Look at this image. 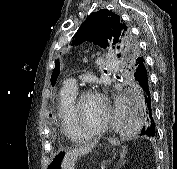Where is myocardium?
Returning a JSON list of instances; mask_svg holds the SVG:
<instances>
[{
  "instance_id": "f54148a6",
  "label": "myocardium",
  "mask_w": 177,
  "mask_h": 169,
  "mask_svg": "<svg viewBox=\"0 0 177 169\" xmlns=\"http://www.w3.org/2000/svg\"><path fill=\"white\" fill-rule=\"evenodd\" d=\"M89 95L98 96L91 89H83L77 94L73 102L72 109H71L74 129H75L77 136L80 138H88V137L97 136V135L102 134L103 132L107 130V128L109 127L110 121H111L110 107L104 103L106 114H105V120L103 121V123L99 127L95 129H91V130H85L81 127L80 116H79V106L83 98Z\"/></svg>"
}]
</instances>
